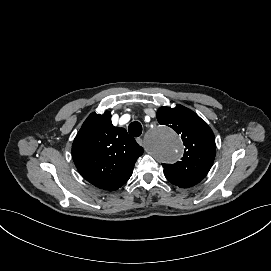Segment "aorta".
I'll return each instance as SVG.
<instances>
[{"mask_svg":"<svg viewBox=\"0 0 271 271\" xmlns=\"http://www.w3.org/2000/svg\"><path fill=\"white\" fill-rule=\"evenodd\" d=\"M148 151L159 161L175 163L183 155V143L180 137L169 127L161 126L148 133L146 137Z\"/></svg>","mask_w":271,"mask_h":271,"instance_id":"1","label":"aorta"}]
</instances>
